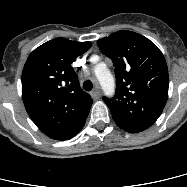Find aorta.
<instances>
[{
	"instance_id": "obj_1",
	"label": "aorta",
	"mask_w": 187,
	"mask_h": 187,
	"mask_svg": "<svg viewBox=\"0 0 187 187\" xmlns=\"http://www.w3.org/2000/svg\"><path fill=\"white\" fill-rule=\"evenodd\" d=\"M94 72L105 95L112 96L115 91V82L111 72L107 69L106 64H97L94 68Z\"/></svg>"
}]
</instances>
